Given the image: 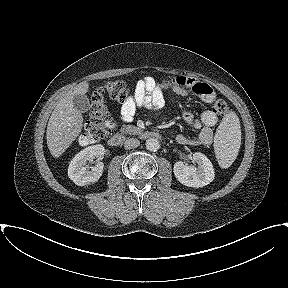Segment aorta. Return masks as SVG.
Instances as JSON below:
<instances>
[{
	"label": "aorta",
	"instance_id": "1",
	"mask_svg": "<svg viewBox=\"0 0 288 288\" xmlns=\"http://www.w3.org/2000/svg\"><path fill=\"white\" fill-rule=\"evenodd\" d=\"M145 146L150 151H157L160 147V143L155 138H149L146 140Z\"/></svg>",
	"mask_w": 288,
	"mask_h": 288
}]
</instances>
